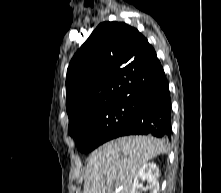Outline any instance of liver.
<instances>
[{"mask_svg":"<svg viewBox=\"0 0 221 193\" xmlns=\"http://www.w3.org/2000/svg\"><path fill=\"white\" fill-rule=\"evenodd\" d=\"M164 153H167L165 143L152 136L109 141L91 153L83 193H130L139 169Z\"/></svg>","mask_w":221,"mask_h":193,"instance_id":"obj_1","label":"liver"}]
</instances>
